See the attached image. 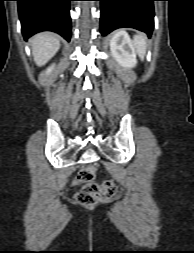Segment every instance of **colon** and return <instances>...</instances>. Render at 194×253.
<instances>
[{
    "label": "colon",
    "mask_w": 194,
    "mask_h": 253,
    "mask_svg": "<svg viewBox=\"0 0 194 253\" xmlns=\"http://www.w3.org/2000/svg\"><path fill=\"white\" fill-rule=\"evenodd\" d=\"M95 170L91 166L84 167L79 173V180L85 185L77 193L76 199L83 205H92L111 198L116 192V185L112 180L100 183L92 182Z\"/></svg>",
    "instance_id": "obj_1"
}]
</instances>
